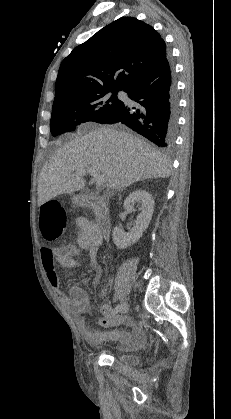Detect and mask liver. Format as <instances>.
Returning a JSON list of instances; mask_svg holds the SVG:
<instances>
[{"label": "liver", "instance_id": "1", "mask_svg": "<svg viewBox=\"0 0 231 419\" xmlns=\"http://www.w3.org/2000/svg\"><path fill=\"white\" fill-rule=\"evenodd\" d=\"M88 169L104 175L112 190L170 175L166 156L139 137L109 126L93 128L59 148L45 164L38 178V205L82 190L85 179L74 172Z\"/></svg>", "mask_w": 231, "mask_h": 419}]
</instances>
